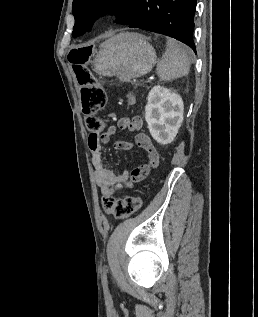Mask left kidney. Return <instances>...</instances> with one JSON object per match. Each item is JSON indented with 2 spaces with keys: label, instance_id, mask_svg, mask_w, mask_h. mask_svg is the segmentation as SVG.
<instances>
[{
  "label": "left kidney",
  "instance_id": "left-kidney-1",
  "mask_svg": "<svg viewBox=\"0 0 258 317\" xmlns=\"http://www.w3.org/2000/svg\"><path fill=\"white\" fill-rule=\"evenodd\" d=\"M147 100L145 118L150 134L159 144H169L183 120V100L180 94L160 84L151 88Z\"/></svg>",
  "mask_w": 258,
  "mask_h": 317
}]
</instances>
